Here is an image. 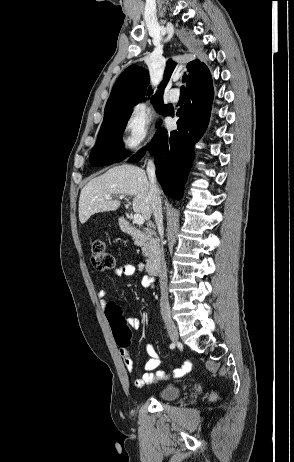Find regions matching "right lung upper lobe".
Masks as SVG:
<instances>
[{"label":"right lung upper lobe","mask_w":294,"mask_h":462,"mask_svg":"<svg viewBox=\"0 0 294 462\" xmlns=\"http://www.w3.org/2000/svg\"><path fill=\"white\" fill-rule=\"evenodd\" d=\"M174 68L175 63L169 60L164 80L159 86L160 90L152 99H162L163 89L166 87ZM187 71L189 74L186 87L210 73L207 66L199 60L189 62L187 64ZM148 84L149 79L144 69L136 65L129 66L113 86L105 106L104 118L123 113L141 102L145 96ZM148 94L151 93L148 92Z\"/></svg>","instance_id":"1"}]
</instances>
